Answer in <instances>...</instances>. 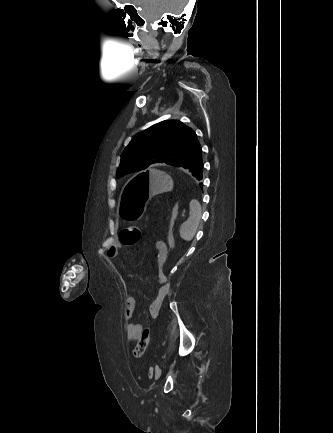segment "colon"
<instances>
[{"instance_id":"1","label":"colon","mask_w":333,"mask_h":433,"mask_svg":"<svg viewBox=\"0 0 333 433\" xmlns=\"http://www.w3.org/2000/svg\"><path fill=\"white\" fill-rule=\"evenodd\" d=\"M175 219H176V213L173 212L171 225H174ZM119 238L122 245L134 246L140 241L141 233L137 227L127 226L120 231ZM168 239L170 243L169 247L172 249L174 247L173 245L175 241L174 234L172 231H170ZM153 324H156V321H153ZM149 328L152 330L154 327L151 325ZM149 341H150V330L146 328L138 338L137 344L133 350V355L135 358H141L144 355L149 345Z\"/></svg>"}]
</instances>
